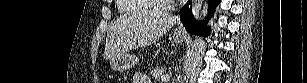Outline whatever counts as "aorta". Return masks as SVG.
Returning a JSON list of instances; mask_svg holds the SVG:
<instances>
[{"instance_id":"1","label":"aorta","mask_w":307,"mask_h":83,"mask_svg":"<svg viewBox=\"0 0 307 83\" xmlns=\"http://www.w3.org/2000/svg\"><path fill=\"white\" fill-rule=\"evenodd\" d=\"M204 0H192V15L195 20L201 16Z\"/></svg>"}]
</instances>
